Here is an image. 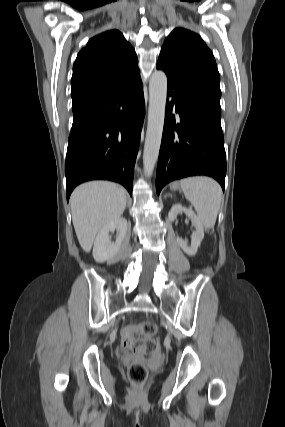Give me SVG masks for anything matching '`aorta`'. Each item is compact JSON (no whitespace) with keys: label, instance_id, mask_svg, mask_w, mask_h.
I'll return each instance as SVG.
<instances>
[{"label":"aorta","instance_id":"762f6f07","mask_svg":"<svg viewBox=\"0 0 285 427\" xmlns=\"http://www.w3.org/2000/svg\"><path fill=\"white\" fill-rule=\"evenodd\" d=\"M167 98V77L155 70L149 81L148 123L143 151V166L149 177L158 160Z\"/></svg>","mask_w":285,"mask_h":427}]
</instances>
